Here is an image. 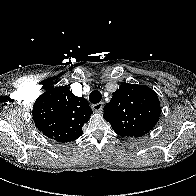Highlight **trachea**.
<instances>
[{"label": "trachea", "mask_w": 196, "mask_h": 196, "mask_svg": "<svg viewBox=\"0 0 196 196\" xmlns=\"http://www.w3.org/2000/svg\"><path fill=\"white\" fill-rule=\"evenodd\" d=\"M101 99H102V94L98 90L92 91L89 95V100L93 104L99 103Z\"/></svg>", "instance_id": "1"}]
</instances>
